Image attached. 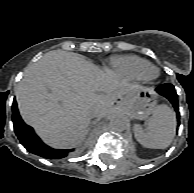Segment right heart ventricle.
I'll use <instances>...</instances> for the list:
<instances>
[{
  "instance_id": "right-heart-ventricle-1",
  "label": "right heart ventricle",
  "mask_w": 194,
  "mask_h": 193,
  "mask_svg": "<svg viewBox=\"0 0 194 193\" xmlns=\"http://www.w3.org/2000/svg\"><path fill=\"white\" fill-rule=\"evenodd\" d=\"M116 74L129 80H142V71L151 63L134 55L116 56L110 60Z\"/></svg>"
}]
</instances>
